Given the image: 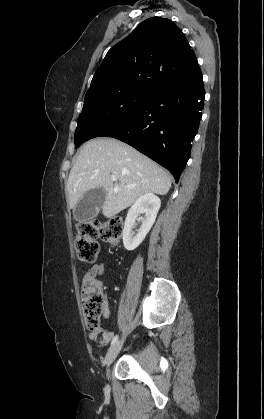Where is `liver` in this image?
I'll list each match as a JSON object with an SVG mask.
<instances>
[{
	"label": "liver",
	"instance_id": "6515ba94",
	"mask_svg": "<svg viewBox=\"0 0 264 419\" xmlns=\"http://www.w3.org/2000/svg\"><path fill=\"white\" fill-rule=\"evenodd\" d=\"M113 175L116 181L111 179ZM170 187L171 178L162 167L114 138H96L84 144L67 181L71 208L85 192L103 188L106 198L102 213L106 218L115 216L146 193L165 195Z\"/></svg>",
	"mask_w": 264,
	"mask_h": 419
}]
</instances>
